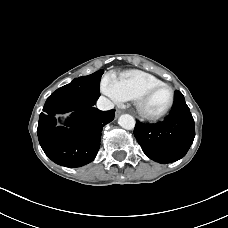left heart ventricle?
I'll use <instances>...</instances> for the list:
<instances>
[{
  "mask_svg": "<svg viewBox=\"0 0 228 228\" xmlns=\"http://www.w3.org/2000/svg\"><path fill=\"white\" fill-rule=\"evenodd\" d=\"M170 100V91L166 87L154 90L146 99L144 107L148 112L157 113L163 110Z\"/></svg>",
  "mask_w": 228,
  "mask_h": 228,
  "instance_id": "1",
  "label": "left heart ventricle"
}]
</instances>
